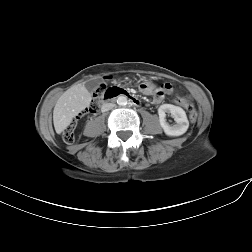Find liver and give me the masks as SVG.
Segmentation results:
<instances>
[{"label":"liver","mask_w":252,"mask_h":252,"mask_svg":"<svg viewBox=\"0 0 252 252\" xmlns=\"http://www.w3.org/2000/svg\"><path fill=\"white\" fill-rule=\"evenodd\" d=\"M91 94L83 84L74 85L57 100L53 111V123L56 133L60 134L73 118L91 103Z\"/></svg>","instance_id":"6515ba94"}]
</instances>
